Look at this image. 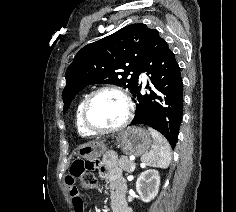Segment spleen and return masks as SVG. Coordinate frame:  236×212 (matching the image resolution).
Segmentation results:
<instances>
[{
  "label": "spleen",
  "instance_id": "spleen-1",
  "mask_svg": "<svg viewBox=\"0 0 236 212\" xmlns=\"http://www.w3.org/2000/svg\"><path fill=\"white\" fill-rule=\"evenodd\" d=\"M153 138L151 150L145 153L141 160L147 166L166 169L171 162V148L168 141L158 131L149 128Z\"/></svg>",
  "mask_w": 236,
  "mask_h": 212
}]
</instances>
